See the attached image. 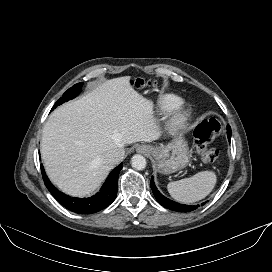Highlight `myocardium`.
I'll list each match as a JSON object with an SVG mask.
<instances>
[{
    "mask_svg": "<svg viewBox=\"0 0 272 272\" xmlns=\"http://www.w3.org/2000/svg\"><path fill=\"white\" fill-rule=\"evenodd\" d=\"M191 117L192 109L181 104L173 111L169 120V128L174 131L182 130L187 126Z\"/></svg>",
    "mask_w": 272,
    "mask_h": 272,
    "instance_id": "myocardium-1",
    "label": "myocardium"
}]
</instances>
